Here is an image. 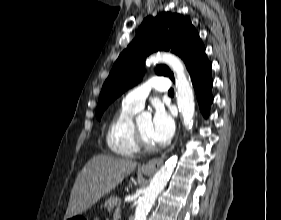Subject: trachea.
<instances>
[{
    "label": "trachea",
    "mask_w": 281,
    "mask_h": 220,
    "mask_svg": "<svg viewBox=\"0 0 281 220\" xmlns=\"http://www.w3.org/2000/svg\"><path fill=\"white\" fill-rule=\"evenodd\" d=\"M168 93L169 94H174V90L171 88Z\"/></svg>",
    "instance_id": "trachea-1"
}]
</instances>
